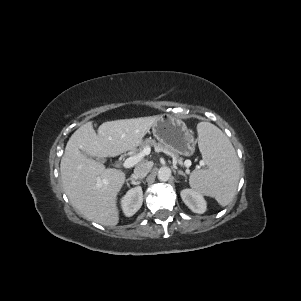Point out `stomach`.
I'll use <instances>...</instances> for the list:
<instances>
[{
    "label": "stomach",
    "instance_id": "0dacf381",
    "mask_svg": "<svg viewBox=\"0 0 301 301\" xmlns=\"http://www.w3.org/2000/svg\"><path fill=\"white\" fill-rule=\"evenodd\" d=\"M152 133L159 143L168 147L174 153L191 156L196 149L193 132L186 124L169 115H161L152 126Z\"/></svg>",
    "mask_w": 301,
    "mask_h": 301
}]
</instances>
